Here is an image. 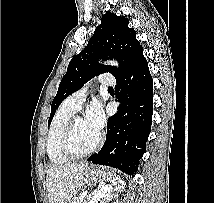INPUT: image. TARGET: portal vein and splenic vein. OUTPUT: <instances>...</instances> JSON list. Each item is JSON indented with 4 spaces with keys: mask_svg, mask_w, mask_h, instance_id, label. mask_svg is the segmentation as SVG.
Returning a JSON list of instances; mask_svg holds the SVG:
<instances>
[{
    "mask_svg": "<svg viewBox=\"0 0 214 203\" xmlns=\"http://www.w3.org/2000/svg\"><path fill=\"white\" fill-rule=\"evenodd\" d=\"M109 191V187H102L100 190H98L94 196L91 198L89 197L88 199L90 200L89 203H98V201L105 196L106 192Z\"/></svg>",
    "mask_w": 214,
    "mask_h": 203,
    "instance_id": "portal-vein-and-splenic-vein-1",
    "label": "portal vein and splenic vein"
}]
</instances>
